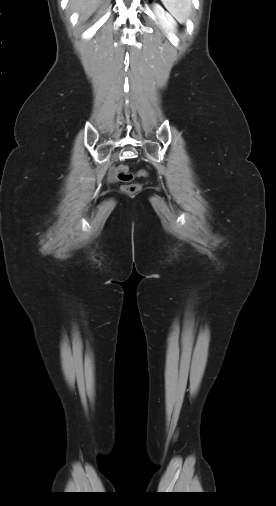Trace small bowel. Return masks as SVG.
Instances as JSON below:
<instances>
[{"label": "small bowel", "mask_w": 276, "mask_h": 506, "mask_svg": "<svg viewBox=\"0 0 276 506\" xmlns=\"http://www.w3.org/2000/svg\"><path fill=\"white\" fill-rule=\"evenodd\" d=\"M109 176H110V179H111V180H116V172H115V170H114V169H112V170L110 171Z\"/></svg>", "instance_id": "small-bowel-1"}]
</instances>
